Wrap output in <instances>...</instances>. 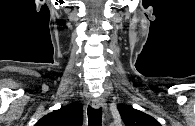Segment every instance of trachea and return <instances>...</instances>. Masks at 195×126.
I'll return each instance as SVG.
<instances>
[{
	"mask_svg": "<svg viewBox=\"0 0 195 126\" xmlns=\"http://www.w3.org/2000/svg\"><path fill=\"white\" fill-rule=\"evenodd\" d=\"M88 125L89 126H101L102 122V108H93L91 106L87 109Z\"/></svg>",
	"mask_w": 195,
	"mask_h": 126,
	"instance_id": "1",
	"label": "trachea"
}]
</instances>
